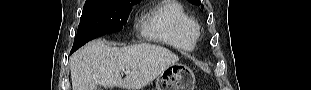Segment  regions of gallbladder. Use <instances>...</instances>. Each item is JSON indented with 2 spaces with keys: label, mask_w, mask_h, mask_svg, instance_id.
I'll return each instance as SVG.
<instances>
[{
  "label": "gallbladder",
  "mask_w": 311,
  "mask_h": 90,
  "mask_svg": "<svg viewBox=\"0 0 311 90\" xmlns=\"http://www.w3.org/2000/svg\"><path fill=\"white\" fill-rule=\"evenodd\" d=\"M96 90H101V88H100V87H98V88H96Z\"/></svg>",
  "instance_id": "1"
}]
</instances>
